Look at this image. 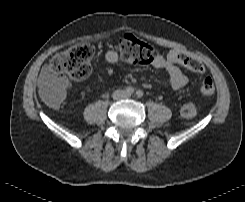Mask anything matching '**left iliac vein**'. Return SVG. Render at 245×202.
Masks as SVG:
<instances>
[{
    "label": "left iliac vein",
    "mask_w": 245,
    "mask_h": 202,
    "mask_svg": "<svg viewBox=\"0 0 245 202\" xmlns=\"http://www.w3.org/2000/svg\"><path fill=\"white\" fill-rule=\"evenodd\" d=\"M130 95L129 94H126V97H129Z\"/></svg>",
    "instance_id": "obj_1"
}]
</instances>
